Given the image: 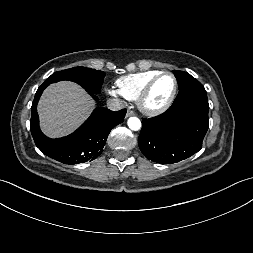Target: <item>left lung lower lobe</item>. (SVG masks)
I'll return each mask as SVG.
<instances>
[{"label":"left lung lower lobe","mask_w":253,"mask_h":253,"mask_svg":"<svg viewBox=\"0 0 253 253\" xmlns=\"http://www.w3.org/2000/svg\"><path fill=\"white\" fill-rule=\"evenodd\" d=\"M208 110L207 93L199 81L180 89L166 112L142 119L138 138L141 152L161 164H172L194 155L201 149L208 130Z\"/></svg>","instance_id":"0a47b994"}]
</instances>
